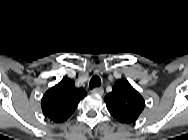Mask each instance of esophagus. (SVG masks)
<instances>
[{
    "label": "esophagus",
    "mask_w": 188,
    "mask_h": 140,
    "mask_svg": "<svg viewBox=\"0 0 188 140\" xmlns=\"http://www.w3.org/2000/svg\"><path fill=\"white\" fill-rule=\"evenodd\" d=\"M92 93H93V94H96V95H103L104 90H103V88H101V87H95V88L92 90Z\"/></svg>",
    "instance_id": "obj_1"
}]
</instances>
